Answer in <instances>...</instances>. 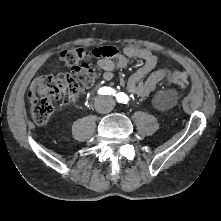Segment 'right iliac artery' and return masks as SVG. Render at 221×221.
I'll list each match as a JSON object with an SVG mask.
<instances>
[{
  "label": "right iliac artery",
  "mask_w": 221,
  "mask_h": 221,
  "mask_svg": "<svg viewBox=\"0 0 221 221\" xmlns=\"http://www.w3.org/2000/svg\"><path fill=\"white\" fill-rule=\"evenodd\" d=\"M100 95H114L117 96L116 91L111 87H102L98 90Z\"/></svg>",
  "instance_id": "right-iliac-artery-1"
}]
</instances>
